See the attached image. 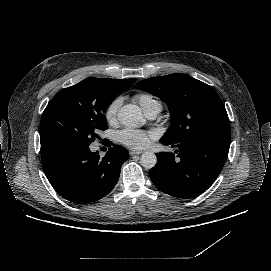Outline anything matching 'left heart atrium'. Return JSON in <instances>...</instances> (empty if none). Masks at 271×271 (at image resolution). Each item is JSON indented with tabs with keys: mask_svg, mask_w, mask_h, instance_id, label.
Wrapping results in <instances>:
<instances>
[{
	"mask_svg": "<svg viewBox=\"0 0 271 271\" xmlns=\"http://www.w3.org/2000/svg\"><path fill=\"white\" fill-rule=\"evenodd\" d=\"M151 139L148 131L141 129L126 128L118 131L117 140L131 149L144 148Z\"/></svg>",
	"mask_w": 271,
	"mask_h": 271,
	"instance_id": "39dd6f15",
	"label": "left heart atrium"
}]
</instances>
